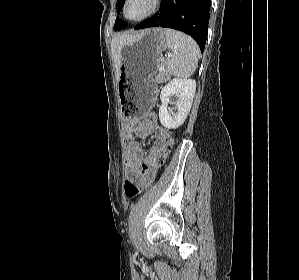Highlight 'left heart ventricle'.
<instances>
[{
    "mask_svg": "<svg viewBox=\"0 0 299 280\" xmlns=\"http://www.w3.org/2000/svg\"><path fill=\"white\" fill-rule=\"evenodd\" d=\"M149 5V0H131L127 7V15L130 18L140 17L148 10Z\"/></svg>",
    "mask_w": 299,
    "mask_h": 280,
    "instance_id": "b2bd125f",
    "label": "left heart ventricle"
}]
</instances>
